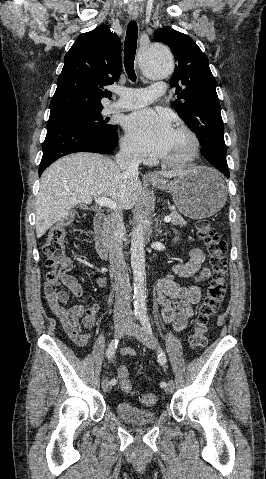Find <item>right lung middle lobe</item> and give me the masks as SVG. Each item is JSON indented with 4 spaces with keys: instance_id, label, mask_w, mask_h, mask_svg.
Returning a JSON list of instances; mask_svg holds the SVG:
<instances>
[{
    "instance_id": "obj_1",
    "label": "right lung middle lobe",
    "mask_w": 266,
    "mask_h": 479,
    "mask_svg": "<svg viewBox=\"0 0 266 479\" xmlns=\"http://www.w3.org/2000/svg\"><path fill=\"white\" fill-rule=\"evenodd\" d=\"M99 108H73L50 113V121L74 123L94 130L112 131L114 126L108 124V119L103 118Z\"/></svg>"
}]
</instances>
